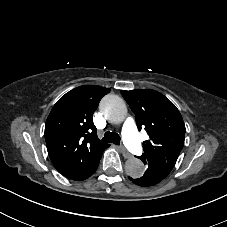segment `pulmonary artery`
<instances>
[{
  "instance_id": "e3ab8cb5",
  "label": "pulmonary artery",
  "mask_w": 227,
  "mask_h": 227,
  "mask_svg": "<svg viewBox=\"0 0 227 227\" xmlns=\"http://www.w3.org/2000/svg\"><path fill=\"white\" fill-rule=\"evenodd\" d=\"M141 134L136 130V120L127 116L123 120V144L126 151L134 156H140L144 152V146L139 142Z\"/></svg>"
}]
</instances>
